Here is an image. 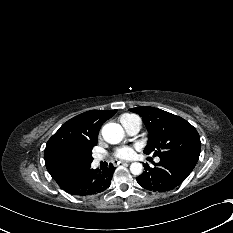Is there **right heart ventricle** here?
I'll return each instance as SVG.
<instances>
[{"instance_id": "1", "label": "right heart ventricle", "mask_w": 233, "mask_h": 233, "mask_svg": "<svg viewBox=\"0 0 233 233\" xmlns=\"http://www.w3.org/2000/svg\"><path fill=\"white\" fill-rule=\"evenodd\" d=\"M135 117L134 115H129V114H125V115H122L119 119L120 123L123 125L125 121H127L128 119H131Z\"/></svg>"}]
</instances>
